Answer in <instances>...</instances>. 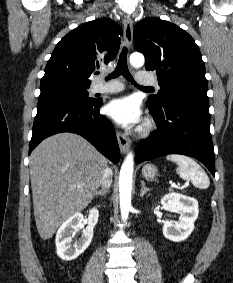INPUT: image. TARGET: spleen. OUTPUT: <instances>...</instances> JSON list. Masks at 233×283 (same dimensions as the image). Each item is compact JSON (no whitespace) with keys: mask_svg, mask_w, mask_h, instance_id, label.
Masks as SVG:
<instances>
[{"mask_svg":"<svg viewBox=\"0 0 233 283\" xmlns=\"http://www.w3.org/2000/svg\"><path fill=\"white\" fill-rule=\"evenodd\" d=\"M166 159L176 163V172L180 178L191 180L196 188L207 189L210 186L207 174L193 159L181 154H170Z\"/></svg>","mask_w":233,"mask_h":283,"instance_id":"obj_1","label":"spleen"}]
</instances>
